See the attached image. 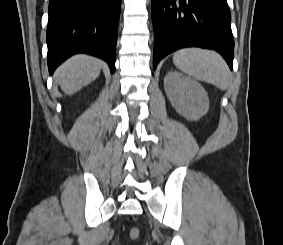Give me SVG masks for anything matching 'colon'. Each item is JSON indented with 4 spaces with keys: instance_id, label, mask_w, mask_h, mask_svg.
Returning a JSON list of instances; mask_svg holds the SVG:
<instances>
[{
    "instance_id": "colon-1",
    "label": "colon",
    "mask_w": 283,
    "mask_h": 245,
    "mask_svg": "<svg viewBox=\"0 0 283 245\" xmlns=\"http://www.w3.org/2000/svg\"><path fill=\"white\" fill-rule=\"evenodd\" d=\"M139 235H140V230H139L138 227L132 228L129 232V236L132 240L137 239L139 237Z\"/></svg>"
}]
</instances>
